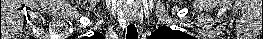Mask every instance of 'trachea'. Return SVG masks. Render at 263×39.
<instances>
[{"label":"trachea","mask_w":263,"mask_h":39,"mask_svg":"<svg viewBox=\"0 0 263 39\" xmlns=\"http://www.w3.org/2000/svg\"><path fill=\"white\" fill-rule=\"evenodd\" d=\"M126 39H138L137 28L133 23L127 26Z\"/></svg>","instance_id":"1"}]
</instances>
